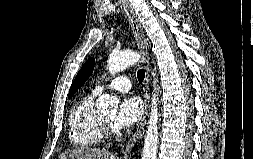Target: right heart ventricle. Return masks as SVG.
Segmentation results:
<instances>
[{"mask_svg": "<svg viewBox=\"0 0 253 159\" xmlns=\"http://www.w3.org/2000/svg\"><path fill=\"white\" fill-rule=\"evenodd\" d=\"M94 92L86 95L72 108L69 118V139L81 149L98 146L104 137L102 115L94 106Z\"/></svg>", "mask_w": 253, "mask_h": 159, "instance_id": "1", "label": "right heart ventricle"}]
</instances>
